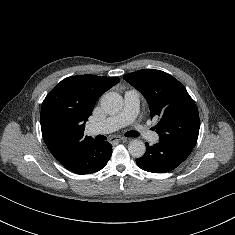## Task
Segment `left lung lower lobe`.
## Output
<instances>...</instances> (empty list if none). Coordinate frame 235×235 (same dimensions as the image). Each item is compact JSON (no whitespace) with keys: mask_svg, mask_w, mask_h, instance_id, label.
Listing matches in <instances>:
<instances>
[{"mask_svg":"<svg viewBox=\"0 0 235 235\" xmlns=\"http://www.w3.org/2000/svg\"><path fill=\"white\" fill-rule=\"evenodd\" d=\"M192 150L188 145L163 140L153 146L146 143V153L136 163L145 171L165 173L179 166Z\"/></svg>","mask_w":235,"mask_h":235,"instance_id":"0a47b994","label":"left lung lower lobe"}]
</instances>
